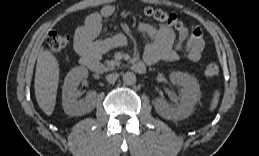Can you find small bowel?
Returning <instances> with one entry per match:
<instances>
[{
  "instance_id": "c3829d8e",
  "label": "small bowel",
  "mask_w": 259,
  "mask_h": 156,
  "mask_svg": "<svg viewBox=\"0 0 259 156\" xmlns=\"http://www.w3.org/2000/svg\"><path fill=\"white\" fill-rule=\"evenodd\" d=\"M114 13V6L105 5L99 11L88 15L83 24L76 28L74 47L81 58L90 55L99 59L109 49L125 45L126 39L122 34L96 40L103 21L112 17ZM137 28L146 36L144 61L148 65L177 61L181 57V52L187 60L192 62H197L202 57L205 41L197 26L183 27L179 30L177 39L174 30L165 24L154 26L139 22Z\"/></svg>"
}]
</instances>
